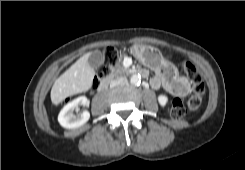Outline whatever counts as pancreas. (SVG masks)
I'll return each instance as SVG.
<instances>
[{
  "label": "pancreas",
  "instance_id": "1",
  "mask_svg": "<svg viewBox=\"0 0 245 170\" xmlns=\"http://www.w3.org/2000/svg\"><path fill=\"white\" fill-rule=\"evenodd\" d=\"M125 73L124 67L121 64V58L112 68V72L109 74L108 78L113 79L116 76L123 75Z\"/></svg>",
  "mask_w": 245,
  "mask_h": 170
}]
</instances>
